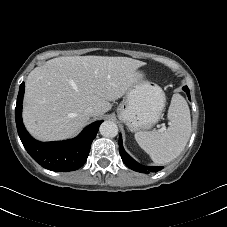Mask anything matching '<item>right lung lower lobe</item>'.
Here are the masks:
<instances>
[{"mask_svg":"<svg viewBox=\"0 0 227 227\" xmlns=\"http://www.w3.org/2000/svg\"><path fill=\"white\" fill-rule=\"evenodd\" d=\"M25 84L19 88L15 108V118L18 135L29 155L42 167L57 172L74 171L80 168L87 160L91 143L95 138L99 126L103 121H97L72 139L60 142H40L35 140L25 129L22 122V101Z\"/></svg>","mask_w":227,"mask_h":227,"instance_id":"98d812e1","label":"right lung lower lobe"}]
</instances>
